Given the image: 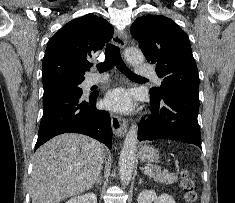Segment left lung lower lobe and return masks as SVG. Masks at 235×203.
<instances>
[{
    "mask_svg": "<svg viewBox=\"0 0 235 203\" xmlns=\"http://www.w3.org/2000/svg\"><path fill=\"white\" fill-rule=\"evenodd\" d=\"M150 96L152 112L140 121L138 139H170L201 148V134L197 121L198 93L178 89L166 92L161 98Z\"/></svg>",
    "mask_w": 235,
    "mask_h": 203,
    "instance_id": "obj_1",
    "label": "left lung lower lobe"
}]
</instances>
